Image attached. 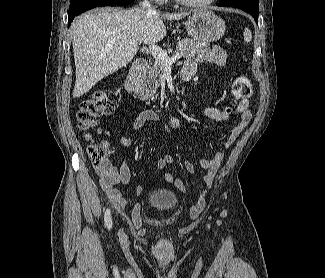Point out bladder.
<instances>
[{
  "label": "bladder",
  "instance_id": "bladder-1",
  "mask_svg": "<svg viewBox=\"0 0 325 278\" xmlns=\"http://www.w3.org/2000/svg\"><path fill=\"white\" fill-rule=\"evenodd\" d=\"M177 195L165 188L152 190L148 196V204L158 211H171L177 205Z\"/></svg>",
  "mask_w": 325,
  "mask_h": 278
}]
</instances>
